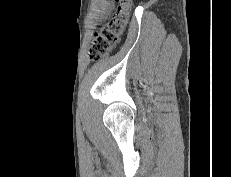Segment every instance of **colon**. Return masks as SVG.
<instances>
[{
  "mask_svg": "<svg viewBox=\"0 0 231 177\" xmlns=\"http://www.w3.org/2000/svg\"><path fill=\"white\" fill-rule=\"evenodd\" d=\"M113 1L118 4L116 11L94 34L90 50V58L94 61L102 59L112 51L119 42L128 23L133 0Z\"/></svg>",
  "mask_w": 231,
  "mask_h": 177,
  "instance_id": "5ec220e1",
  "label": "colon"
}]
</instances>
